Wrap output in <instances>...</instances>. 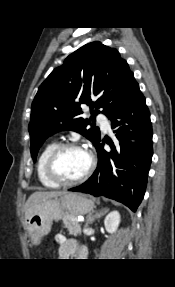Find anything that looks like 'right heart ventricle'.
Instances as JSON below:
<instances>
[{
	"instance_id": "obj_1",
	"label": "right heart ventricle",
	"mask_w": 175,
	"mask_h": 287,
	"mask_svg": "<svg viewBox=\"0 0 175 287\" xmlns=\"http://www.w3.org/2000/svg\"><path fill=\"white\" fill-rule=\"evenodd\" d=\"M58 145L57 142H50L46 144L37 159L36 172L40 183L46 188H57L59 185L50 180L46 175V161L52 150Z\"/></svg>"
}]
</instances>
